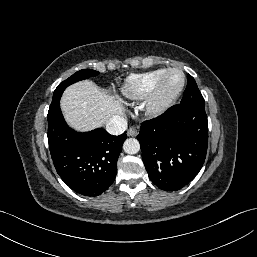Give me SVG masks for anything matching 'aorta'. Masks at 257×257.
<instances>
[{"mask_svg": "<svg viewBox=\"0 0 257 257\" xmlns=\"http://www.w3.org/2000/svg\"><path fill=\"white\" fill-rule=\"evenodd\" d=\"M123 150L127 154H136L140 150L139 141L135 138L126 139L123 144Z\"/></svg>", "mask_w": 257, "mask_h": 257, "instance_id": "aorta-1", "label": "aorta"}]
</instances>
